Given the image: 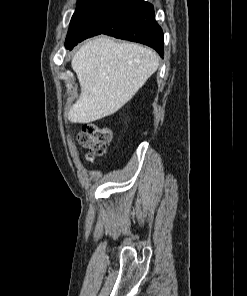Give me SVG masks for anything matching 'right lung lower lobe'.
<instances>
[{
    "label": "right lung lower lobe",
    "mask_w": 247,
    "mask_h": 296,
    "mask_svg": "<svg viewBox=\"0 0 247 296\" xmlns=\"http://www.w3.org/2000/svg\"><path fill=\"white\" fill-rule=\"evenodd\" d=\"M87 28L84 39L107 34L148 45L163 57V31L155 20L153 6L144 0H110Z\"/></svg>",
    "instance_id": "1"
}]
</instances>
